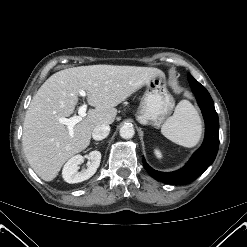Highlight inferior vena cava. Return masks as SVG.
I'll return each mask as SVG.
<instances>
[{
    "label": "inferior vena cava",
    "instance_id": "602c4592",
    "mask_svg": "<svg viewBox=\"0 0 247 247\" xmlns=\"http://www.w3.org/2000/svg\"><path fill=\"white\" fill-rule=\"evenodd\" d=\"M110 126L107 124L98 125L93 129L92 137L94 140H103L109 135Z\"/></svg>",
    "mask_w": 247,
    "mask_h": 247
}]
</instances>
